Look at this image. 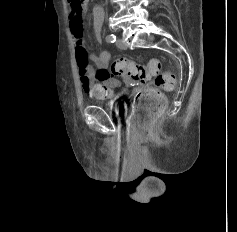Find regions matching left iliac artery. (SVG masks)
Listing matches in <instances>:
<instances>
[{
  "instance_id": "1",
  "label": "left iliac artery",
  "mask_w": 237,
  "mask_h": 232,
  "mask_svg": "<svg viewBox=\"0 0 237 232\" xmlns=\"http://www.w3.org/2000/svg\"><path fill=\"white\" fill-rule=\"evenodd\" d=\"M106 41L109 43H113L116 41V36L114 34H109L106 36Z\"/></svg>"
}]
</instances>
